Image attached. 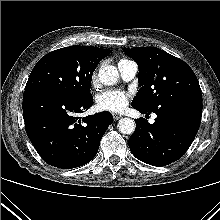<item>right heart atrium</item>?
I'll use <instances>...</instances> for the list:
<instances>
[{"instance_id": "obj_1", "label": "right heart atrium", "mask_w": 220, "mask_h": 220, "mask_svg": "<svg viewBox=\"0 0 220 220\" xmlns=\"http://www.w3.org/2000/svg\"><path fill=\"white\" fill-rule=\"evenodd\" d=\"M95 79H96V74L93 75V80H95Z\"/></svg>"}]
</instances>
